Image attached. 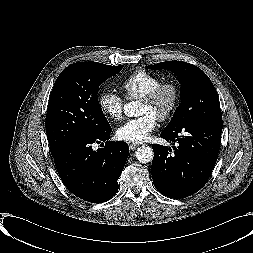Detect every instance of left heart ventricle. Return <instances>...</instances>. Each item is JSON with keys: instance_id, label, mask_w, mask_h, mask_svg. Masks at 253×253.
<instances>
[{"instance_id": "obj_1", "label": "left heart ventricle", "mask_w": 253, "mask_h": 253, "mask_svg": "<svg viewBox=\"0 0 253 253\" xmlns=\"http://www.w3.org/2000/svg\"><path fill=\"white\" fill-rule=\"evenodd\" d=\"M172 100L170 91H165L154 103L147 104L140 101L138 114H150L156 119L168 108Z\"/></svg>"}]
</instances>
